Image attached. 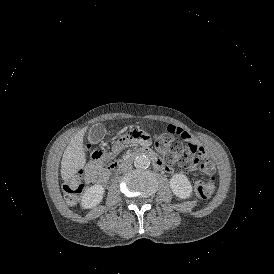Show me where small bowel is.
Masks as SVG:
<instances>
[{"mask_svg":"<svg viewBox=\"0 0 274 274\" xmlns=\"http://www.w3.org/2000/svg\"><path fill=\"white\" fill-rule=\"evenodd\" d=\"M167 130L170 133H177L179 136H182L185 140H188V142L191 144L189 146V151H194V155H188L191 159V164L187 169L191 168L192 171L195 174L200 173L199 167H200V160L206 159V154H204V145L201 143V141L198 138H195L194 136H191V134L182 126H178L177 124H170L167 127ZM138 142L143 146H149L150 141L147 137H140L138 138ZM124 143H120L113 147L111 151L109 152V156L115 155L120 150L123 149ZM193 145V146H192ZM195 147V148H194ZM107 158L104 155H100L91 161H89L85 167L84 171V178L85 183L87 185L95 184V185H103L107 180V175L112 168L111 165H106ZM219 177V176H218ZM218 177L216 180L211 181L213 183L217 182Z\"/></svg>","mask_w":274,"mask_h":274,"instance_id":"obj_1","label":"small bowel"}]
</instances>
